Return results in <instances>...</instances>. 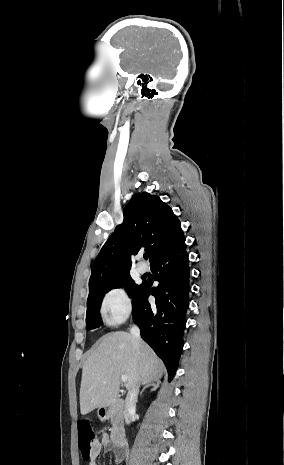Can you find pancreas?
I'll use <instances>...</instances> for the list:
<instances>
[{
    "label": "pancreas",
    "mask_w": 284,
    "mask_h": 465,
    "mask_svg": "<svg viewBox=\"0 0 284 465\" xmlns=\"http://www.w3.org/2000/svg\"><path fill=\"white\" fill-rule=\"evenodd\" d=\"M115 423H116V415H115V413H112V415H111V425H113V427H114Z\"/></svg>",
    "instance_id": "pancreas-1"
}]
</instances>
